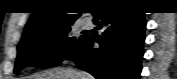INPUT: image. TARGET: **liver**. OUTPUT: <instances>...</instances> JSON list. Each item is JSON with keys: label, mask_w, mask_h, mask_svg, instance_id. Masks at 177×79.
<instances>
[{"label": "liver", "mask_w": 177, "mask_h": 79, "mask_svg": "<svg viewBox=\"0 0 177 79\" xmlns=\"http://www.w3.org/2000/svg\"><path fill=\"white\" fill-rule=\"evenodd\" d=\"M26 79H94L89 73L73 68H54L28 76Z\"/></svg>", "instance_id": "1"}]
</instances>
